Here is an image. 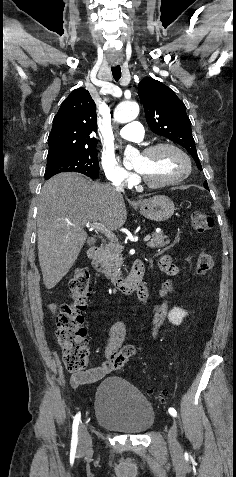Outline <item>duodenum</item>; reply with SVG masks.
<instances>
[{"instance_id":"1","label":"duodenum","mask_w":236,"mask_h":477,"mask_svg":"<svg viewBox=\"0 0 236 477\" xmlns=\"http://www.w3.org/2000/svg\"><path fill=\"white\" fill-rule=\"evenodd\" d=\"M89 259L97 264L100 257V248L93 246L88 250ZM113 285L116 289L124 295H129L134 291H141L144 288L145 277H144V261L137 259L134 261L130 274L125 277H116L112 280Z\"/></svg>"}]
</instances>
